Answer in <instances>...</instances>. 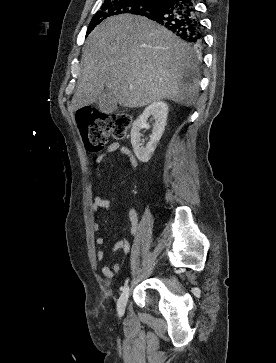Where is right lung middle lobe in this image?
<instances>
[{
	"label": "right lung middle lobe",
	"mask_w": 276,
	"mask_h": 363,
	"mask_svg": "<svg viewBox=\"0 0 276 363\" xmlns=\"http://www.w3.org/2000/svg\"><path fill=\"white\" fill-rule=\"evenodd\" d=\"M154 0H105L100 9L93 16L87 30L88 35L96 25L110 16L120 14H136L139 15L142 11L155 4Z\"/></svg>",
	"instance_id": "1"
}]
</instances>
